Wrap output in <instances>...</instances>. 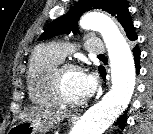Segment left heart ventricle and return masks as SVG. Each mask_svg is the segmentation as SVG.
Listing matches in <instances>:
<instances>
[{"instance_id":"obj_1","label":"left heart ventricle","mask_w":153,"mask_h":134,"mask_svg":"<svg viewBox=\"0 0 153 134\" xmlns=\"http://www.w3.org/2000/svg\"><path fill=\"white\" fill-rule=\"evenodd\" d=\"M82 72L66 70L62 75V89L64 95L71 100H83L81 90Z\"/></svg>"}]
</instances>
